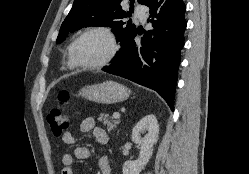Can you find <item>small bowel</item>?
<instances>
[{
  "instance_id": "small-bowel-1",
  "label": "small bowel",
  "mask_w": 249,
  "mask_h": 174,
  "mask_svg": "<svg viewBox=\"0 0 249 174\" xmlns=\"http://www.w3.org/2000/svg\"><path fill=\"white\" fill-rule=\"evenodd\" d=\"M80 130L84 133L92 132L95 140L101 146H105L108 141V135L106 131L100 127H97L93 118H85L80 125ZM62 141L67 146H74L77 143L76 136L67 131L62 135ZM91 156V151L86 147H76L74 152L65 153L62 156L61 162L63 165L61 174H75L72 169V164L75 159H87ZM99 173L98 174H111V165L108 158L105 155L100 156L98 160Z\"/></svg>"
}]
</instances>
